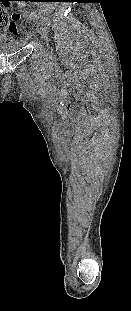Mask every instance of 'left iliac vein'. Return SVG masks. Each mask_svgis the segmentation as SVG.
Returning a JSON list of instances; mask_svg holds the SVG:
<instances>
[{
    "label": "left iliac vein",
    "instance_id": "obj_1",
    "mask_svg": "<svg viewBox=\"0 0 131 311\" xmlns=\"http://www.w3.org/2000/svg\"><path fill=\"white\" fill-rule=\"evenodd\" d=\"M40 34L43 40L48 44V29L46 26L41 27Z\"/></svg>",
    "mask_w": 131,
    "mask_h": 311
}]
</instances>
